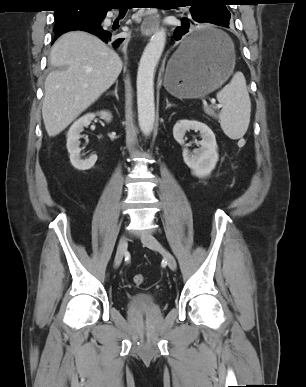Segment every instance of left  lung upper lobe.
Here are the masks:
<instances>
[{
    "label": "left lung upper lobe",
    "instance_id": "1",
    "mask_svg": "<svg viewBox=\"0 0 306 387\" xmlns=\"http://www.w3.org/2000/svg\"><path fill=\"white\" fill-rule=\"evenodd\" d=\"M226 0H187L185 3L191 5L190 12L198 15L205 14L213 23H228L230 13L226 8Z\"/></svg>",
    "mask_w": 306,
    "mask_h": 387
}]
</instances>
